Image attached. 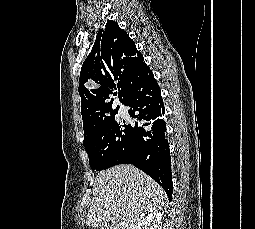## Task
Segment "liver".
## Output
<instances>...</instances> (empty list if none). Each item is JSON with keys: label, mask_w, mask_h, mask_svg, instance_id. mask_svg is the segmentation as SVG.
<instances>
[{"label": "liver", "mask_w": 255, "mask_h": 229, "mask_svg": "<svg viewBox=\"0 0 255 229\" xmlns=\"http://www.w3.org/2000/svg\"><path fill=\"white\" fill-rule=\"evenodd\" d=\"M86 225L135 229L145 214L159 211L166 195L162 187L133 165H117L99 173Z\"/></svg>", "instance_id": "6515ba94"}]
</instances>
